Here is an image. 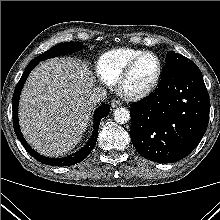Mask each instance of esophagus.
<instances>
[{"label": "esophagus", "mask_w": 220, "mask_h": 220, "mask_svg": "<svg viewBox=\"0 0 220 220\" xmlns=\"http://www.w3.org/2000/svg\"><path fill=\"white\" fill-rule=\"evenodd\" d=\"M120 105H121V103L118 100H112V102H111L112 108H116L117 106H120Z\"/></svg>", "instance_id": "34e87169"}]
</instances>
